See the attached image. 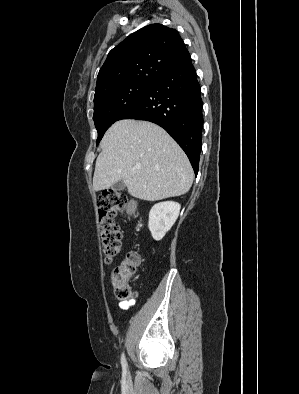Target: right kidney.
I'll list each match as a JSON object with an SVG mask.
<instances>
[{"label": "right kidney", "mask_w": 299, "mask_h": 394, "mask_svg": "<svg viewBox=\"0 0 299 394\" xmlns=\"http://www.w3.org/2000/svg\"><path fill=\"white\" fill-rule=\"evenodd\" d=\"M181 205L173 201L155 204L149 212L148 228L154 240H161L179 216Z\"/></svg>", "instance_id": "ca27d5eb"}]
</instances>
